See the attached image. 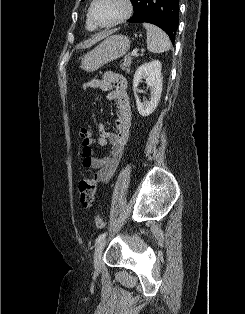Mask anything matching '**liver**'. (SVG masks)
<instances>
[{
  "label": "liver",
  "mask_w": 245,
  "mask_h": 314,
  "mask_svg": "<svg viewBox=\"0 0 245 314\" xmlns=\"http://www.w3.org/2000/svg\"><path fill=\"white\" fill-rule=\"evenodd\" d=\"M111 34V32H102L100 34H98L96 37H94L93 39H89L86 42H84L81 45V48H89L92 45H94L95 43H97L98 41L108 37Z\"/></svg>",
  "instance_id": "1"
}]
</instances>
